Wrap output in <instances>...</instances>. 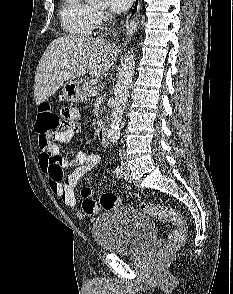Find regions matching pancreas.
Wrapping results in <instances>:
<instances>
[{
  "label": "pancreas",
  "instance_id": "cf45deb5",
  "mask_svg": "<svg viewBox=\"0 0 233 294\" xmlns=\"http://www.w3.org/2000/svg\"><path fill=\"white\" fill-rule=\"evenodd\" d=\"M94 89V86L92 85L91 81H85L81 88V100L86 101L91 95L89 94V90Z\"/></svg>",
  "mask_w": 233,
  "mask_h": 294
}]
</instances>
